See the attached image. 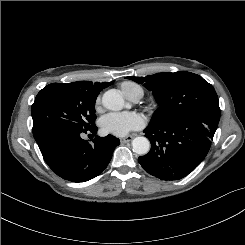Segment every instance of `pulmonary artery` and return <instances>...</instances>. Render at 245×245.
Masks as SVG:
<instances>
[{"instance_id":"1","label":"pulmonary artery","mask_w":245,"mask_h":245,"mask_svg":"<svg viewBox=\"0 0 245 245\" xmlns=\"http://www.w3.org/2000/svg\"><path fill=\"white\" fill-rule=\"evenodd\" d=\"M141 97H142L141 94H136V95L132 96L130 98V100H132V101H138Z\"/></svg>"}]
</instances>
